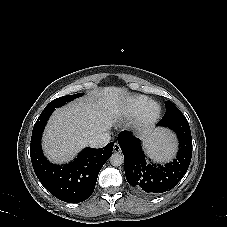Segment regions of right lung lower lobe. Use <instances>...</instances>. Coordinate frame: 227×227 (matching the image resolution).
Here are the masks:
<instances>
[{
  "label": "right lung lower lobe",
  "mask_w": 227,
  "mask_h": 227,
  "mask_svg": "<svg viewBox=\"0 0 227 227\" xmlns=\"http://www.w3.org/2000/svg\"><path fill=\"white\" fill-rule=\"evenodd\" d=\"M53 111L54 108L44 109L33 127L30 143L32 165L41 184L56 198L68 203L82 202L93 193L98 174L112 155L114 143L100 149L86 148L67 165L50 163L42 153L41 137Z\"/></svg>",
  "instance_id": "obj_1"
}]
</instances>
